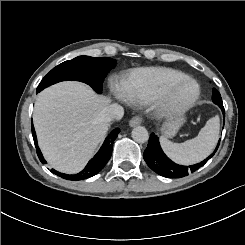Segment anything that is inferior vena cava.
Masks as SVG:
<instances>
[{"instance_id": "obj_1", "label": "inferior vena cava", "mask_w": 245, "mask_h": 245, "mask_svg": "<svg viewBox=\"0 0 245 245\" xmlns=\"http://www.w3.org/2000/svg\"><path fill=\"white\" fill-rule=\"evenodd\" d=\"M124 114V108L119 104H111L105 107L99 114L98 119L101 122L110 123L119 119Z\"/></svg>"}]
</instances>
